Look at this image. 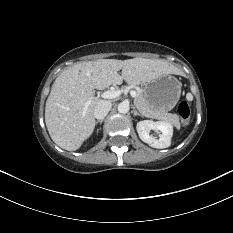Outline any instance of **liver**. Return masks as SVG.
<instances>
[{
	"label": "liver",
	"instance_id": "1",
	"mask_svg": "<svg viewBox=\"0 0 233 233\" xmlns=\"http://www.w3.org/2000/svg\"><path fill=\"white\" fill-rule=\"evenodd\" d=\"M167 74H180V70L164 60L146 58L98 59L67 68L54 81L46 101L45 123L51 139L75 151L90 137L95 128L94 109L100 101L94 98V89L120 85L123 80L131 86L145 85Z\"/></svg>",
	"mask_w": 233,
	"mask_h": 233
}]
</instances>
